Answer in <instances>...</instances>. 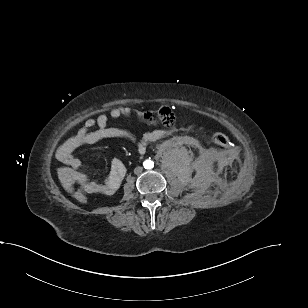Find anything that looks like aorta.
<instances>
[{"label":"aorta","mask_w":308,"mask_h":308,"mask_svg":"<svg viewBox=\"0 0 308 308\" xmlns=\"http://www.w3.org/2000/svg\"><path fill=\"white\" fill-rule=\"evenodd\" d=\"M145 169H152L154 167V162L152 160H146L143 163Z\"/></svg>","instance_id":"1"}]
</instances>
